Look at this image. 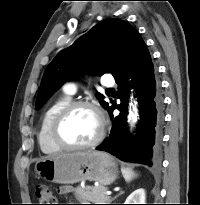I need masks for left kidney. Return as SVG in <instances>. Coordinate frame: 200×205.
I'll use <instances>...</instances> for the list:
<instances>
[{
  "label": "left kidney",
  "instance_id": "1",
  "mask_svg": "<svg viewBox=\"0 0 200 205\" xmlns=\"http://www.w3.org/2000/svg\"><path fill=\"white\" fill-rule=\"evenodd\" d=\"M145 199V190L143 188H139L127 197L124 204H145Z\"/></svg>",
  "mask_w": 200,
  "mask_h": 205
}]
</instances>
